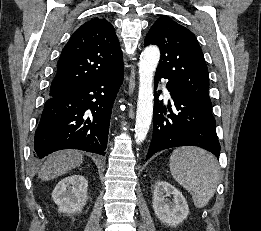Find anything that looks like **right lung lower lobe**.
<instances>
[{
  "label": "right lung lower lobe",
  "instance_id": "1",
  "mask_svg": "<svg viewBox=\"0 0 261 231\" xmlns=\"http://www.w3.org/2000/svg\"><path fill=\"white\" fill-rule=\"evenodd\" d=\"M123 65L85 86L45 102L34 137V156L62 149L105 155L113 103L123 81Z\"/></svg>",
  "mask_w": 261,
  "mask_h": 231
}]
</instances>
